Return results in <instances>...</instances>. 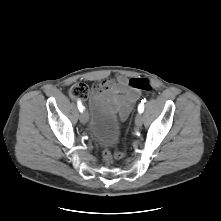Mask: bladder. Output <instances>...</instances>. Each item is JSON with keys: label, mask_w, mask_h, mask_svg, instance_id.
<instances>
[{"label": "bladder", "mask_w": 221, "mask_h": 221, "mask_svg": "<svg viewBox=\"0 0 221 221\" xmlns=\"http://www.w3.org/2000/svg\"><path fill=\"white\" fill-rule=\"evenodd\" d=\"M90 131L98 141L110 146L118 142L120 137V119L112 112L108 104L94 99L91 103Z\"/></svg>", "instance_id": "obj_1"}]
</instances>
